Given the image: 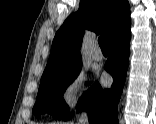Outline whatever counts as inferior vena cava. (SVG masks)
<instances>
[{
  "instance_id": "inferior-vena-cava-1",
  "label": "inferior vena cava",
  "mask_w": 156,
  "mask_h": 124,
  "mask_svg": "<svg viewBox=\"0 0 156 124\" xmlns=\"http://www.w3.org/2000/svg\"><path fill=\"white\" fill-rule=\"evenodd\" d=\"M78 124H89L88 116L86 113H82L80 115Z\"/></svg>"
}]
</instances>
